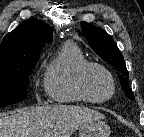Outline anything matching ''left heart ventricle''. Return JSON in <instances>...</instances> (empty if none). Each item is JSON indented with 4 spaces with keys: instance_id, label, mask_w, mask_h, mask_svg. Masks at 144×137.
<instances>
[{
    "instance_id": "1",
    "label": "left heart ventricle",
    "mask_w": 144,
    "mask_h": 137,
    "mask_svg": "<svg viewBox=\"0 0 144 137\" xmlns=\"http://www.w3.org/2000/svg\"><path fill=\"white\" fill-rule=\"evenodd\" d=\"M89 94L94 98H104L111 93V83L107 76L98 69H91L85 79Z\"/></svg>"
}]
</instances>
